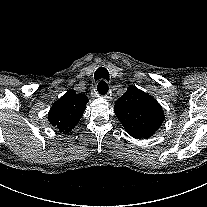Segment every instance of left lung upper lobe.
<instances>
[{
  "label": "left lung upper lobe",
  "mask_w": 207,
  "mask_h": 207,
  "mask_svg": "<svg viewBox=\"0 0 207 207\" xmlns=\"http://www.w3.org/2000/svg\"><path fill=\"white\" fill-rule=\"evenodd\" d=\"M114 112L126 132L137 139L151 137L165 119L161 105L135 86L118 99Z\"/></svg>",
  "instance_id": "left-lung-upper-lobe-1"
}]
</instances>
